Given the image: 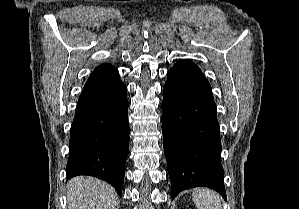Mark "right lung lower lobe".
Returning <instances> with one entry per match:
<instances>
[{"mask_svg": "<svg viewBox=\"0 0 299 209\" xmlns=\"http://www.w3.org/2000/svg\"><path fill=\"white\" fill-rule=\"evenodd\" d=\"M126 86L117 70L95 69L78 99L69 141L67 180L88 175L122 195L129 150Z\"/></svg>", "mask_w": 299, "mask_h": 209, "instance_id": "1", "label": "right lung lower lobe"}]
</instances>
